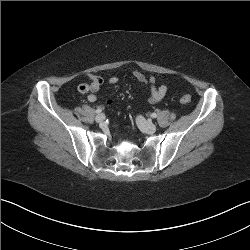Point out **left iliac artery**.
<instances>
[{"mask_svg":"<svg viewBox=\"0 0 250 250\" xmlns=\"http://www.w3.org/2000/svg\"><path fill=\"white\" fill-rule=\"evenodd\" d=\"M151 117H152V118H156V117H157V114H156V113H152V114H151Z\"/></svg>","mask_w":250,"mask_h":250,"instance_id":"obj_1","label":"left iliac artery"}]
</instances>
